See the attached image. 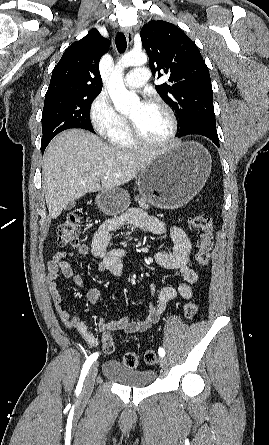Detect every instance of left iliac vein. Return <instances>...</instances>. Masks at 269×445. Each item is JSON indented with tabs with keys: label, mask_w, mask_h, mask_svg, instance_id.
<instances>
[{
	"label": "left iliac vein",
	"mask_w": 269,
	"mask_h": 445,
	"mask_svg": "<svg viewBox=\"0 0 269 445\" xmlns=\"http://www.w3.org/2000/svg\"><path fill=\"white\" fill-rule=\"evenodd\" d=\"M159 363H160V366H161L162 369H166L168 367V361L164 357L160 358Z\"/></svg>",
	"instance_id": "4c4485c4"
}]
</instances>
